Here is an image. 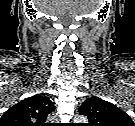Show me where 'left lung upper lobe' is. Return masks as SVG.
Listing matches in <instances>:
<instances>
[{
    "label": "left lung upper lobe",
    "instance_id": "1",
    "mask_svg": "<svg viewBox=\"0 0 135 126\" xmlns=\"http://www.w3.org/2000/svg\"><path fill=\"white\" fill-rule=\"evenodd\" d=\"M79 113L87 116L88 126H135L127 113L96 96L87 98Z\"/></svg>",
    "mask_w": 135,
    "mask_h": 126
}]
</instances>
